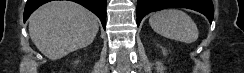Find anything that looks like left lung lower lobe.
Instances as JSON below:
<instances>
[{
	"mask_svg": "<svg viewBox=\"0 0 244 73\" xmlns=\"http://www.w3.org/2000/svg\"><path fill=\"white\" fill-rule=\"evenodd\" d=\"M170 7L193 9L204 14L210 22L213 20L214 7L211 0H138L137 25L148 13Z\"/></svg>",
	"mask_w": 244,
	"mask_h": 73,
	"instance_id": "1",
	"label": "left lung lower lobe"
}]
</instances>
